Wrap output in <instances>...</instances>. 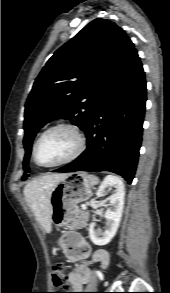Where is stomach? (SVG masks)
I'll return each instance as SVG.
<instances>
[{
  "mask_svg": "<svg viewBox=\"0 0 170 293\" xmlns=\"http://www.w3.org/2000/svg\"><path fill=\"white\" fill-rule=\"evenodd\" d=\"M92 183L83 172L69 173L52 189L51 221L56 226L70 225L79 216L78 204L90 198Z\"/></svg>",
  "mask_w": 170,
  "mask_h": 293,
  "instance_id": "1",
  "label": "stomach"
}]
</instances>
